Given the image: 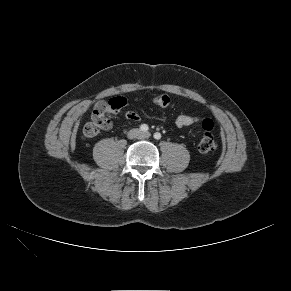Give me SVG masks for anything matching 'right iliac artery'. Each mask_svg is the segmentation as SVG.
<instances>
[{"instance_id": "obj_1", "label": "right iliac artery", "mask_w": 291, "mask_h": 291, "mask_svg": "<svg viewBox=\"0 0 291 291\" xmlns=\"http://www.w3.org/2000/svg\"><path fill=\"white\" fill-rule=\"evenodd\" d=\"M149 129L148 125L146 124H142L140 125V130L143 131V132H147Z\"/></svg>"}]
</instances>
